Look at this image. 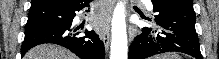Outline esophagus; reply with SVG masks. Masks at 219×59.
Wrapping results in <instances>:
<instances>
[{"label":"esophagus","instance_id":"1","mask_svg":"<svg viewBox=\"0 0 219 59\" xmlns=\"http://www.w3.org/2000/svg\"><path fill=\"white\" fill-rule=\"evenodd\" d=\"M106 2L109 6L108 15H107L106 21L103 23L102 28L97 29V33H98L100 39L103 41L106 50H108L109 43H110L111 8H112L113 4L115 3V0H107Z\"/></svg>","mask_w":219,"mask_h":59}]
</instances>
